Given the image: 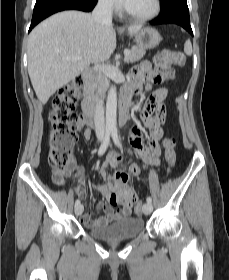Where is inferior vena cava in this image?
<instances>
[{
    "mask_svg": "<svg viewBox=\"0 0 229 280\" xmlns=\"http://www.w3.org/2000/svg\"><path fill=\"white\" fill-rule=\"evenodd\" d=\"M92 17L96 23L112 24V3L110 0H99L93 10ZM100 69L96 64L94 71L97 73ZM99 79V76L97 77ZM95 132L97 136H103L105 133V117L102 100H97L94 113Z\"/></svg>",
    "mask_w": 229,
    "mask_h": 280,
    "instance_id": "602c4592",
    "label": "inferior vena cava"
}]
</instances>
